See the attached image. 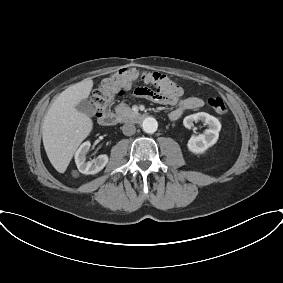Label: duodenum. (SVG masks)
<instances>
[{"instance_id":"1","label":"duodenum","mask_w":283,"mask_h":283,"mask_svg":"<svg viewBox=\"0 0 283 283\" xmlns=\"http://www.w3.org/2000/svg\"><path fill=\"white\" fill-rule=\"evenodd\" d=\"M147 118V115L141 112L132 113L129 122L141 123ZM118 117L114 112H104L98 116V122L102 126H113L117 123Z\"/></svg>"}]
</instances>
